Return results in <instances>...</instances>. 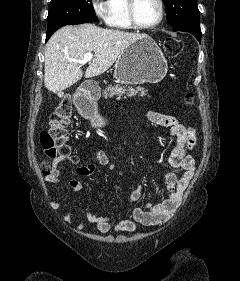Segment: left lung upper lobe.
<instances>
[{"label": "left lung upper lobe", "mask_w": 240, "mask_h": 281, "mask_svg": "<svg viewBox=\"0 0 240 281\" xmlns=\"http://www.w3.org/2000/svg\"><path fill=\"white\" fill-rule=\"evenodd\" d=\"M167 21L172 27L191 24L200 25L197 0H163Z\"/></svg>", "instance_id": "1"}]
</instances>
